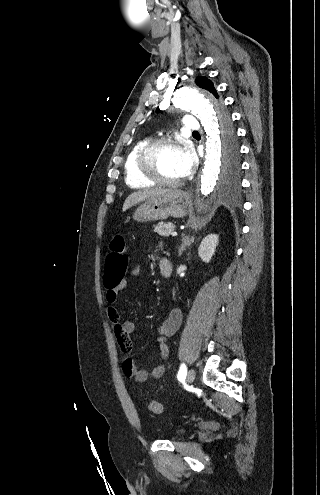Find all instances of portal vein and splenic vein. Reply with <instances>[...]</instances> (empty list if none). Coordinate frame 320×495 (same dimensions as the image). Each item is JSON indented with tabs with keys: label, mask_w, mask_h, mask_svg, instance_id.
Segmentation results:
<instances>
[{
	"label": "portal vein and splenic vein",
	"mask_w": 320,
	"mask_h": 495,
	"mask_svg": "<svg viewBox=\"0 0 320 495\" xmlns=\"http://www.w3.org/2000/svg\"><path fill=\"white\" fill-rule=\"evenodd\" d=\"M171 235L172 236H176L177 235V232H173Z\"/></svg>",
	"instance_id": "portal-vein-and-splenic-vein-1"
}]
</instances>
